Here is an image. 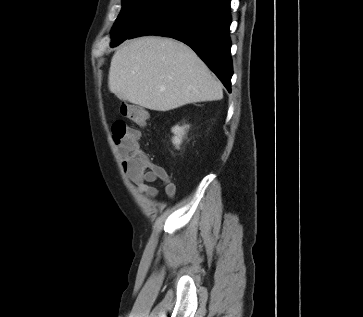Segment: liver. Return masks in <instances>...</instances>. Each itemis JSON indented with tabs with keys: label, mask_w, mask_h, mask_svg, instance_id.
Wrapping results in <instances>:
<instances>
[{
	"label": "liver",
	"mask_w": 363,
	"mask_h": 317,
	"mask_svg": "<svg viewBox=\"0 0 363 317\" xmlns=\"http://www.w3.org/2000/svg\"><path fill=\"white\" fill-rule=\"evenodd\" d=\"M108 87L119 99L156 111L223 97L222 84L192 49L154 36L128 41L115 52Z\"/></svg>",
	"instance_id": "obj_1"
}]
</instances>
